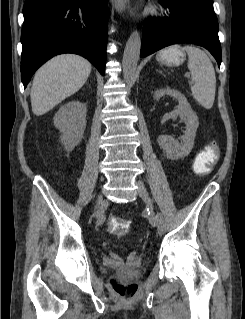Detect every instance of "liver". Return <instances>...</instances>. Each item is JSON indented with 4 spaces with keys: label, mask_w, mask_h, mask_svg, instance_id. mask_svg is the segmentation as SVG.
Segmentation results:
<instances>
[{
    "label": "liver",
    "mask_w": 245,
    "mask_h": 319,
    "mask_svg": "<svg viewBox=\"0 0 245 319\" xmlns=\"http://www.w3.org/2000/svg\"><path fill=\"white\" fill-rule=\"evenodd\" d=\"M91 64L78 55L57 56L35 74L30 98L32 111L40 116L76 93L87 81Z\"/></svg>",
    "instance_id": "1"
}]
</instances>
